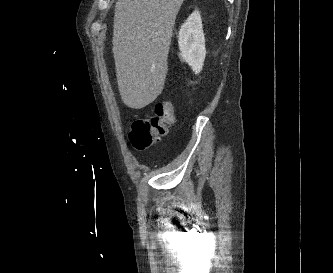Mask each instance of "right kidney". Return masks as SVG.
<instances>
[{
	"mask_svg": "<svg viewBox=\"0 0 333 273\" xmlns=\"http://www.w3.org/2000/svg\"><path fill=\"white\" fill-rule=\"evenodd\" d=\"M180 56L195 73L202 70L206 56L202 20L198 11L193 12L181 26L178 35Z\"/></svg>",
	"mask_w": 333,
	"mask_h": 273,
	"instance_id": "obj_1",
	"label": "right kidney"
}]
</instances>
